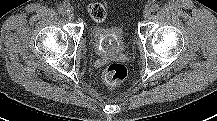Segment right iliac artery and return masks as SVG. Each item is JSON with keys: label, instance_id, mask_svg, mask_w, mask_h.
<instances>
[{"label": "right iliac artery", "instance_id": "82829eb1", "mask_svg": "<svg viewBox=\"0 0 217 121\" xmlns=\"http://www.w3.org/2000/svg\"><path fill=\"white\" fill-rule=\"evenodd\" d=\"M58 12H59L60 14H66L67 10H66L64 7H59V8H58Z\"/></svg>", "mask_w": 217, "mask_h": 121}]
</instances>
